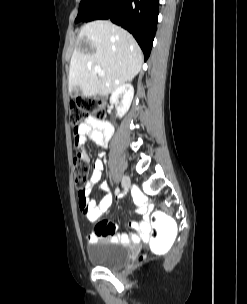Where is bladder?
<instances>
[{
  "label": "bladder",
  "instance_id": "obj_1",
  "mask_svg": "<svg viewBox=\"0 0 247 304\" xmlns=\"http://www.w3.org/2000/svg\"><path fill=\"white\" fill-rule=\"evenodd\" d=\"M130 247L109 239L99 240L87 247L89 261L107 269H118L128 259Z\"/></svg>",
  "mask_w": 247,
  "mask_h": 304
}]
</instances>
